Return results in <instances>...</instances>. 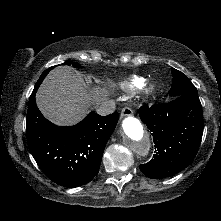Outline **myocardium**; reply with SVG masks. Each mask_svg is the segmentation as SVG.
I'll list each match as a JSON object with an SVG mask.
<instances>
[{
    "instance_id": "f54148a6",
    "label": "myocardium",
    "mask_w": 221,
    "mask_h": 221,
    "mask_svg": "<svg viewBox=\"0 0 221 221\" xmlns=\"http://www.w3.org/2000/svg\"><path fill=\"white\" fill-rule=\"evenodd\" d=\"M157 91L158 86L155 83L151 82L144 87L143 94L145 98L150 99L156 95Z\"/></svg>"
}]
</instances>
